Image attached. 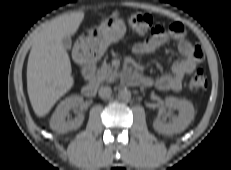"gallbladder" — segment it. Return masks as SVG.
Returning a JSON list of instances; mask_svg holds the SVG:
<instances>
[{"label": "gallbladder", "instance_id": "gallbladder-1", "mask_svg": "<svg viewBox=\"0 0 231 170\" xmlns=\"http://www.w3.org/2000/svg\"><path fill=\"white\" fill-rule=\"evenodd\" d=\"M62 44L65 50H70L72 46V40L70 36H65L62 40Z\"/></svg>", "mask_w": 231, "mask_h": 170}]
</instances>
